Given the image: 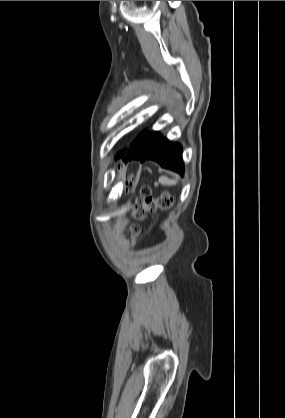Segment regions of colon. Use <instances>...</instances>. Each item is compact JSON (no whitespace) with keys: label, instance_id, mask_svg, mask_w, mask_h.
I'll return each mask as SVG.
<instances>
[{"label":"colon","instance_id":"colon-1","mask_svg":"<svg viewBox=\"0 0 285 418\" xmlns=\"http://www.w3.org/2000/svg\"><path fill=\"white\" fill-rule=\"evenodd\" d=\"M142 198L144 201L136 208L134 217L140 219L147 213L154 211L156 208H166L173 201V199L167 194L162 195L158 199H153V196L149 190L142 192ZM140 226L135 224L129 227L128 231L135 235L139 232Z\"/></svg>","mask_w":285,"mask_h":418}]
</instances>
